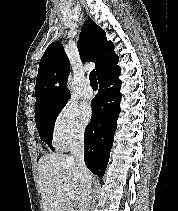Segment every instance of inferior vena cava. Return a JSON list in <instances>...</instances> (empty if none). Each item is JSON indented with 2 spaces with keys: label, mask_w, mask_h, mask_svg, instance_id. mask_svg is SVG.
Segmentation results:
<instances>
[{
  "label": "inferior vena cava",
  "mask_w": 178,
  "mask_h": 211,
  "mask_svg": "<svg viewBox=\"0 0 178 211\" xmlns=\"http://www.w3.org/2000/svg\"><path fill=\"white\" fill-rule=\"evenodd\" d=\"M71 158L75 161L83 178L82 204L80 211H90L91 176L84 162V132H78L70 143Z\"/></svg>",
  "instance_id": "602c4592"
}]
</instances>
